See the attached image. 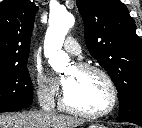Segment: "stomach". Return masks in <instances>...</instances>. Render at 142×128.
<instances>
[{
  "mask_svg": "<svg viewBox=\"0 0 142 128\" xmlns=\"http://www.w3.org/2000/svg\"><path fill=\"white\" fill-rule=\"evenodd\" d=\"M89 128H105V127L102 125L93 124V125H90Z\"/></svg>",
  "mask_w": 142,
  "mask_h": 128,
  "instance_id": "1",
  "label": "stomach"
}]
</instances>
